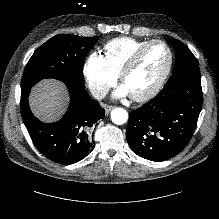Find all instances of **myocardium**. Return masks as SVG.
I'll use <instances>...</instances> for the list:
<instances>
[{
  "mask_svg": "<svg viewBox=\"0 0 219 219\" xmlns=\"http://www.w3.org/2000/svg\"><path fill=\"white\" fill-rule=\"evenodd\" d=\"M155 44H160L166 48L168 55H169V61H168L167 67H166L165 71L163 72V74L158 78V80L154 83V85L151 88H149L147 91H145L142 94L130 95L134 101H139V102L146 101V100H149L152 97H154L162 89V87L166 83V81L171 73L173 63H174V55H173L172 49L163 40H150L144 46H142L137 51H135L130 56V58L125 62V64L123 65L122 69L119 72V79H120L121 83H123V81H124L125 77L128 75V73L137 65V63L139 62V60L143 56V54L151 46H153Z\"/></svg>",
  "mask_w": 219,
  "mask_h": 219,
  "instance_id": "obj_1",
  "label": "myocardium"
}]
</instances>
